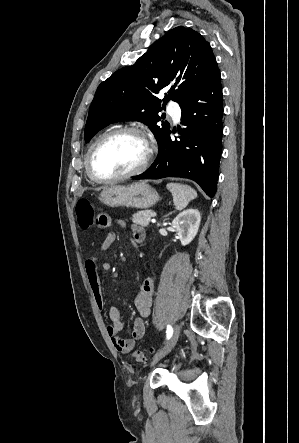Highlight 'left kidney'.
<instances>
[{"label":"left kidney","instance_id":"1","mask_svg":"<svg viewBox=\"0 0 299 443\" xmlns=\"http://www.w3.org/2000/svg\"><path fill=\"white\" fill-rule=\"evenodd\" d=\"M201 215L197 209H187L177 215L172 222V227L176 230L181 244L188 245L197 235Z\"/></svg>","mask_w":299,"mask_h":443}]
</instances>
